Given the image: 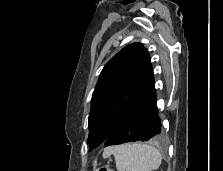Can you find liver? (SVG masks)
Wrapping results in <instances>:
<instances>
[{
    "label": "liver",
    "instance_id": "obj_1",
    "mask_svg": "<svg viewBox=\"0 0 223 171\" xmlns=\"http://www.w3.org/2000/svg\"><path fill=\"white\" fill-rule=\"evenodd\" d=\"M110 149L111 148H108V149H106L105 151H104V153H103V156L104 157H108L111 153H110Z\"/></svg>",
    "mask_w": 223,
    "mask_h": 171
}]
</instances>
